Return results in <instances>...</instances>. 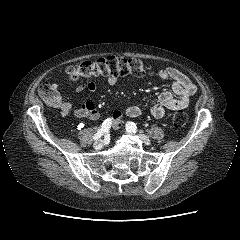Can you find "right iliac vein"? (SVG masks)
Listing matches in <instances>:
<instances>
[{
	"instance_id": "right-iliac-vein-1",
	"label": "right iliac vein",
	"mask_w": 240,
	"mask_h": 240,
	"mask_svg": "<svg viewBox=\"0 0 240 240\" xmlns=\"http://www.w3.org/2000/svg\"><path fill=\"white\" fill-rule=\"evenodd\" d=\"M103 140H97L95 143H94V145H93V147L95 148V149H101L102 147H103Z\"/></svg>"
}]
</instances>
